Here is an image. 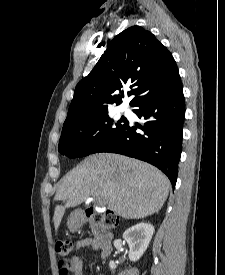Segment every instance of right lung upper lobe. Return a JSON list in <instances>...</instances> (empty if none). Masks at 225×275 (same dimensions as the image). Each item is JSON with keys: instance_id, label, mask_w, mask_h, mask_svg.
I'll return each mask as SVG.
<instances>
[{"instance_id": "1", "label": "right lung upper lobe", "mask_w": 225, "mask_h": 275, "mask_svg": "<svg viewBox=\"0 0 225 275\" xmlns=\"http://www.w3.org/2000/svg\"><path fill=\"white\" fill-rule=\"evenodd\" d=\"M180 80L168 49L151 32L132 26L109 43L90 74L77 84L63 127L121 104L126 88H131L133 107Z\"/></svg>"}]
</instances>
